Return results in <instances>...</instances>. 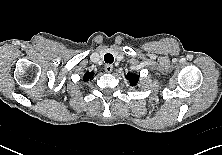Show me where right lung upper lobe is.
Masks as SVG:
<instances>
[{
	"instance_id": "1",
	"label": "right lung upper lobe",
	"mask_w": 222,
	"mask_h": 155,
	"mask_svg": "<svg viewBox=\"0 0 222 155\" xmlns=\"http://www.w3.org/2000/svg\"><path fill=\"white\" fill-rule=\"evenodd\" d=\"M93 76H94L93 72H86L84 77H83V80L86 82L89 79H93Z\"/></svg>"
}]
</instances>
